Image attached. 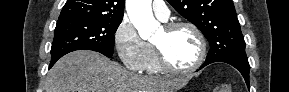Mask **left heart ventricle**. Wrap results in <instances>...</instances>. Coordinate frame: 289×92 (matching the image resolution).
Listing matches in <instances>:
<instances>
[{
  "label": "left heart ventricle",
  "mask_w": 289,
  "mask_h": 92,
  "mask_svg": "<svg viewBox=\"0 0 289 92\" xmlns=\"http://www.w3.org/2000/svg\"><path fill=\"white\" fill-rule=\"evenodd\" d=\"M153 43L163 50L172 65L179 68L193 65L199 56L198 39L189 28H178L171 32L162 28Z\"/></svg>",
  "instance_id": "left-heart-ventricle-1"
}]
</instances>
